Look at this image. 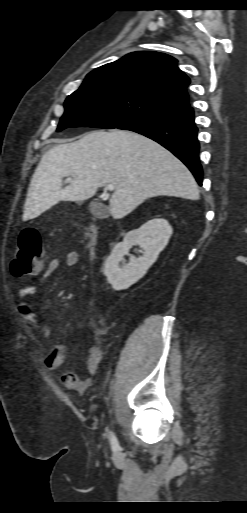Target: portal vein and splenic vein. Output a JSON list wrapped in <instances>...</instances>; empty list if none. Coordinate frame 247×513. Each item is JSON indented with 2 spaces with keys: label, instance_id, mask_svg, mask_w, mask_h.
<instances>
[{
  "label": "portal vein and splenic vein",
  "instance_id": "1",
  "mask_svg": "<svg viewBox=\"0 0 247 513\" xmlns=\"http://www.w3.org/2000/svg\"><path fill=\"white\" fill-rule=\"evenodd\" d=\"M114 187L115 186L113 184H107L106 185V189L109 190V191L114 190Z\"/></svg>",
  "mask_w": 247,
  "mask_h": 513
}]
</instances>
